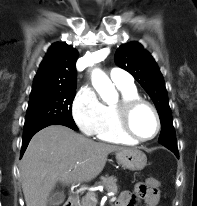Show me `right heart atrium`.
I'll list each match as a JSON object with an SVG mask.
<instances>
[{"mask_svg":"<svg viewBox=\"0 0 197 206\" xmlns=\"http://www.w3.org/2000/svg\"><path fill=\"white\" fill-rule=\"evenodd\" d=\"M103 104L90 86H83L77 92L72 104V116L78 128L85 135H94L101 122Z\"/></svg>","mask_w":197,"mask_h":206,"instance_id":"1","label":"right heart atrium"}]
</instances>
